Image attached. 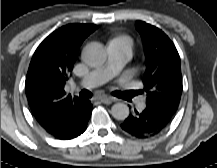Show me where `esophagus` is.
I'll return each mask as SVG.
<instances>
[{
    "label": "esophagus",
    "mask_w": 217,
    "mask_h": 168,
    "mask_svg": "<svg viewBox=\"0 0 217 168\" xmlns=\"http://www.w3.org/2000/svg\"><path fill=\"white\" fill-rule=\"evenodd\" d=\"M104 104H111L114 101V98L107 95H102L98 98Z\"/></svg>",
    "instance_id": "34e87169"
}]
</instances>
